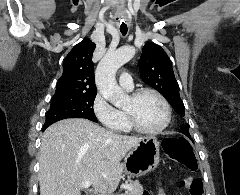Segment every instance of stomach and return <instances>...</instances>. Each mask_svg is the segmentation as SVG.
Returning a JSON list of instances; mask_svg holds the SVG:
<instances>
[{"instance_id": "obj_1", "label": "stomach", "mask_w": 240, "mask_h": 195, "mask_svg": "<svg viewBox=\"0 0 240 195\" xmlns=\"http://www.w3.org/2000/svg\"><path fill=\"white\" fill-rule=\"evenodd\" d=\"M160 143L155 135H146L135 147L130 149L124 159V171L138 177L153 171L160 161Z\"/></svg>"}]
</instances>
